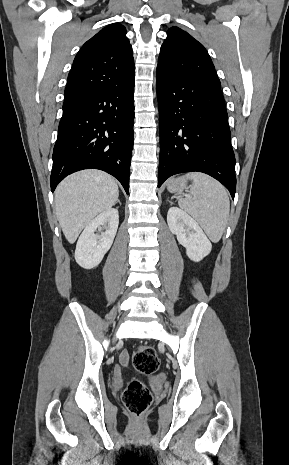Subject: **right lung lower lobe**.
<instances>
[{
  "label": "right lung lower lobe",
  "mask_w": 289,
  "mask_h": 465,
  "mask_svg": "<svg viewBox=\"0 0 289 465\" xmlns=\"http://www.w3.org/2000/svg\"><path fill=\"white\" fill-rule=\"evenodd\" d=\"M134 77L87 96L63 114L53 151L51 190L67 175L88 168L106 171L129 192L133 148Z\"/></svg>",
  "instance_id": "obj_1"
}]
</instances>
